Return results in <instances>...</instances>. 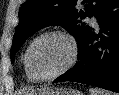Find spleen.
Instances as JSON below:
<instances>
[{"instance_id": "spleen-1", "label": "spleen", "mask_w": 119, "mask_h": 95, "mask_svg": "<svg viewBox=\"0 0 119 95\" xmlns=\"http://www.w3.org/2000/svg\"><path fill=\"white\" fill-rule=\"evenodd\" d=\"M90 94L91 95H119L117 93H113V92L106 91V90H101L98 88H90Z\"/></svg>"}]
</instances>
